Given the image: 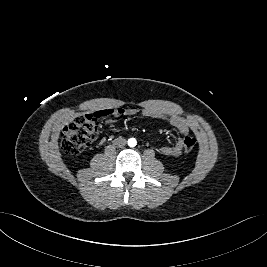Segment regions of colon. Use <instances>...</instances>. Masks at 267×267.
Masks as SVG:
<instances>
[{
  "instance_id": "obj_1",
  "label": "colon",
  "mask_w": 267,
  "mask_h": 267,
  "mask_svg": "<svg viewBox=\"0 0 267 267\" xmlns=\"http://www.w3.org/2000/svg\"><path fill=\"white\" fill-rule=\"evenodd\" d=\"M101 117L99 113L85 114L66 125L61 133L60 146L63 154L76 155L89 145L97 134ZM195 146L194 137L189 135L183 137V147L186 152H191Z\"/></svg>"
}]
</instances>
